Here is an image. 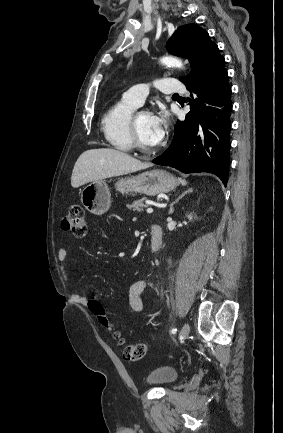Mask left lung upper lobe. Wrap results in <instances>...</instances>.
I'll return each mask as SVG.
<instances>
[{"mask_svg": "<svg viewBox=\"0 0 283 433\" xmlns=\"http://www.w3.org/2000/svg\"><path fill=\"white\" fill-rule=\"evenodd\" d=\"M214 44L205 30L195 24H188L174 32L166 47L171 54L189 59L193 70L195 62ZM188 77L180 80L184 82Z\"/></svg>", "mask_w": 283, "mask_h": 433, "instance_id": "1", "label": "left lung upper lobe"}]
</instances>
